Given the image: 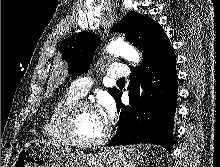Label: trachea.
Instances as JSON below:
<instances>
[{
	"label": "trachea",
	"mask_w": 220,
	"mask_h": 167,
	"mask_svg": "<svg viewBox=\"0 0 220 167\" xmlns=\"http://www.w3.org/2000/svg\"><path fill=\"white\" fill-rule=\"evenodd\" d=\"M118 82H125V79L121 78V79L118 80Z\"/></svg>",
	"instance_id": "obj_1"
}]
</instances>
